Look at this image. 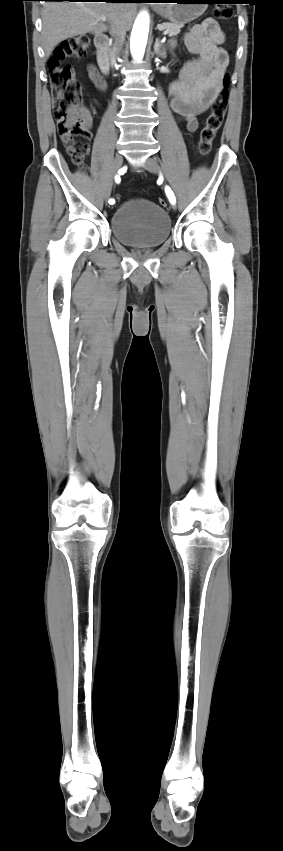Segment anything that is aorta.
<instances>
[{"mask_svg":"<svg viewBox=\"0 0 283 851\" xmlns=\"http://www.w3.org/2000/svg\"><path fill=\"white\" fill-rule=\"evenodd\" d=\"M149 14L142 11L137 16L130 38V49L134 60H142L148 39L149 33Z\"/></svg>","mask_w":283,"mask_h":851,"instance_id":"obj_1","label":"aorta"}]
</instances>
